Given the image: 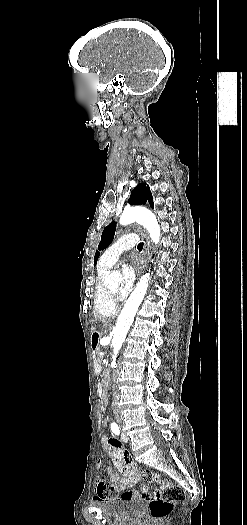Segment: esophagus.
Wrapping results in <instances>:
<instances>
[{"instance_id": "obj_1", "label": "esophagus", "mask_w": 247, "mask_h": 525, "mask_svg": "<svg viewBox=\"0 0 247 525\" xmlns=\"http://www.w3.org/2000/svg\"><path fill=\"white\" fill-rule=\"evenodd\" d=\"M144 253H145V258L144 260L141 262V265L143 267H141V270H144V267H146L148 265V260L150 258V240H149V237H147V240H146V245H145V248H144Z\"/></svg>"}]
</instances>
